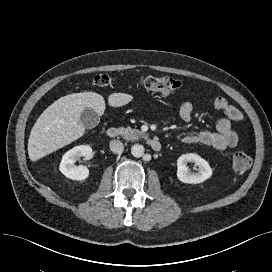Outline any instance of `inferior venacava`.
I'll use <instances>...</instances> for the list:
<instances>
[{"label": "inferior vena cava", "instance_id": "obj_1", "mask_svg": "<svg viewBox=\"0 0 272 272\" xmlns=\"http://www.w3.org/2000/svg\"><path fill=\"white\" fill-rule=\"evenodd\" d=\"M123 143L119 140L110 141V150L115 154H120L123 152Z\"/></svg>", "mask_w": 272, "mask_h": 272}]
</instances>
